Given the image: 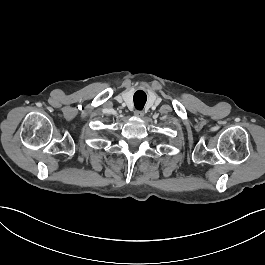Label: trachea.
<instances>
[{
	"label": "trachea",
	"instance_id": "obj_1",
	"mask_svg": "<svg viewBox=\"0 0 265 265\" xmlns=\"http://www.w3.org/2000/svg\"><path fill=\"white\" fill-rule=\"evenodd\" d=\"M146 100H147L146 93L142 90H138L133 96L135 108L138 110L143 109V107L146 103Z\"/></svg>",
	"mask_w": 265,
	"mask_h": 265
}]
</instances>
